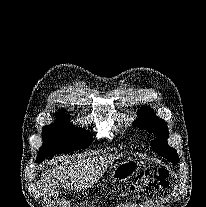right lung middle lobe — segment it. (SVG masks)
Listing matches in <instances>:
<instances>
[{
    "mask_svg": "<svg viewBox=\"0 0 206 207\" xmlns=\"http://www.w3.org/2000/svg\"><path fill=\"white\" fill-rule=\"evenodd\" d=\"M42 138L43 146L37 157L41 161L52 155L86 148L92 142L89 132L73 126L69 115L65 114H58L56 123L43 127Z\"/></svg>",
    "mask_w": 206,
    "mask_h": 207,
    "instance_id": "dd1d6c3e",
    "label": "right lung middle lobe"
}]
</instances>
